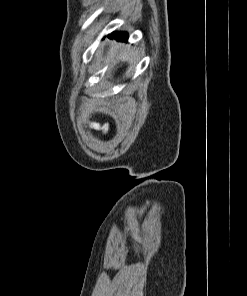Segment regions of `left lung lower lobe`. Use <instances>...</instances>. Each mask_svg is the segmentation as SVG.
I'll return each instance as SVG.
<instances>
[{
	"label": "left lung lower lobe",
	"mask_w": 247,
	"mask_h": 296,
	"mask_svg": "<svg viewBox=\"0 0 247 296\" xmlns=\"http://www.w3.org/2000/svg\"><path fill=\"white\" fill-rule=\"evenodd\" d=\"M110 38H115L117 40L126 41L128 38V34L126 32H113L109 35Z\"/></svg>",
	"instance_id": "obj_1"
}]
</instances>
